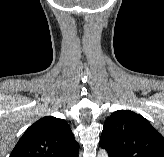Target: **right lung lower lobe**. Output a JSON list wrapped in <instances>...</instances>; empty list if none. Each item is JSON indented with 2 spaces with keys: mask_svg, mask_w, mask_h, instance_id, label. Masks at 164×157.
Here are the masks:
<instances>
[{
  "mask_svg": "<svg viewBox=\"0 0 164 157\" xmlns=\"http://www.w3.org/2000/svg\"><path fill=\"white\" fill-rule=\"evenodd\" d=\"M65 157H78V149L73 150L72 152H70Z\"/></svg>",
  "mask_w": 164,
  "mask_h": 157,
  "instance_id": "98d812e1",
  "label": "right lung lower lobe"
}]
</instances>
